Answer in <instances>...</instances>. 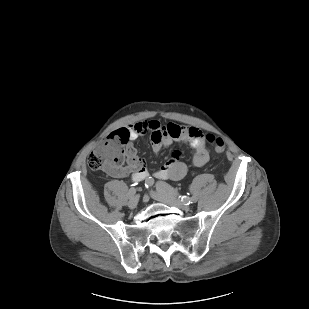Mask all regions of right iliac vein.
Wrapping results in <instances>:
<instances>
[{
	"label": "right iliac vein",
	"mask_w": 309,
	"mask_h": 309,
	"mask_svg": "<svg viewBox=\"0 0 309 309\" xmlns=\"http://www.w3.org/2000/svg\"><path fill=\"white\" fill-rule=\"evenodd\" d=\"M135 196H138V195H135ZM138 202H139V201H134V200H131V199H130L129 202H128V207H129L130 209H134V208L137 207Z\"/></svg>",
	"instance_id": "obj_1"
}]
</instances>
